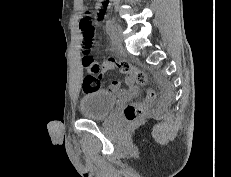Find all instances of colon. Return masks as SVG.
I'll use <instances>...</instances> for the list:
<instances>
[{
  "label": "colon",
  "mask_w": 231,
  "mask_h": 177,
  "mask_svg": "<svg viewBox=\"0 0 231 177\" xmlns=\"http://www.w3.org/2000/svg\"><path fill=\"white\" fill-rule=\"evenodd\" d=\"M80 27L84 39L82 46V63L86 71L82 80V88L84 92H91L101 88V85L97 76L99 74V66L97 61L91 55L94 46L95 27L88 13L81 20ZM107 60L115 65L120 72L127 74L137 84H147V75L142 70L132 66L126 60L114 58H108ZM154 96V91L148 89L144 100L127 105L124 110L126 118L129 121H134L141 117L146 110L147 103L151 101Z\"/></svg>",
  "instance_id": "colon-1"
}]
</instances>
